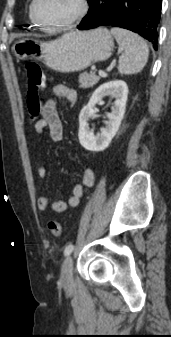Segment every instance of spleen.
Instances as JSON below:
<instances>
[{"mask_svg": "<svg viewBox=\"0 0 171 337\" xmlns=\"http://www.w3.org/2000/svg\"><path fill=\"white\" fill-rule=\"evenodd\" d=\"M111 34L123 49L119 57L118 71L124 75L139 73L148 61L147 43L136 33L122 28H111Z\"/></svg>", "mask_w": 171, "mask_h": 337, "instance_id": "spleen-1", "label": "spleen"}]
</instances>
